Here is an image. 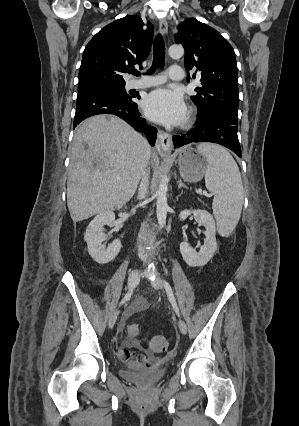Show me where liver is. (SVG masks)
<instances>
[{"label": "liver", "mask_w": 299, "mask_h": 426, "mask_svg": "<svg viewBox=\"0 0 299 426\" xmlns=\"http://www.w3.org/2000/svg\"><path fill=\"white\" fill-rule=\"evenodd\" d=\"M150 156L147 141L122 119L97 115L85 120L70 153L67 205L73 222L124 206Z\"/></svg>", "instance_id": "liver-1"}]
</instances>
